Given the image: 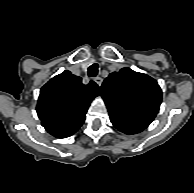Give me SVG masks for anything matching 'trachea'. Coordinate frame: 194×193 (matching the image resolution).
Masks as SVG:
<instances>
[{"label": "trachea", "instance_id": "trachea-1", "mask_svg": "<svg viewBox=\"0 0 194 193\" xmlns=\"http://www.w3.org/2000/svg\"><path fill=\"white\" fill-rule=\"evenodd\" d=\"M98 64L97 63H94L92 64L89 69H88V75L90 77H96V75L98 74Z\"/></svg>", "mask_w": 194, "mask_h": 193}]
</instances>
